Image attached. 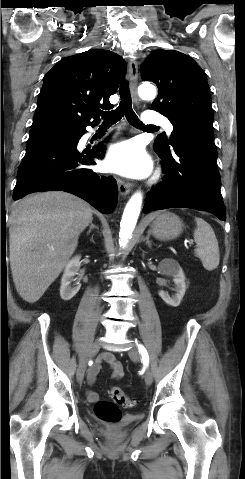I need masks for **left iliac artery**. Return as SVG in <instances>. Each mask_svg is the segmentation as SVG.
Here are the masks:
<instances>
[{
	"mask_svg": "<svg viewBox=\"0 0 245 479\" xmlns=\"http://www.w3.org/2000/svg\"><path fill=\"white\" fill-rule=\"evenodd\" d=\"M137 346H138V349H139V353L142 356L143 362L145 364H148L149 363V356H148L146 348L142 344H138V343H137Z\"/></svg>",
	"mask_w": 245,
	"mask_h": 479,
	"instance_id": "44dca946",
	"label": "left iliac artery"
}]
</instances>
